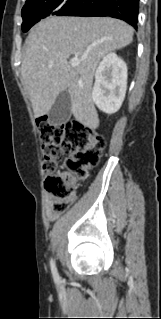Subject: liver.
Masks as SVG:
<instances>
[{
  "label": "liver",
  "mask_w": 161,
  "mask_h": 319,
  "mask_svg": "<svg viewBox=\"0 0 161 319\" xmlns=\"http://www.w3.org/2000/svg\"><path fill=\"white\" fill-rule=\"evenodd\" d=\"M133 28L109 17H49L28 35L21 65L35 117L49 112L57 96L67 90L75 119L92 130L99 118L92 99L93 76L101 58L129 45ZM81 59L78 66L70 56Z\"/></svg>",
  "instance_id": "liver-1"
}]
</instances>
